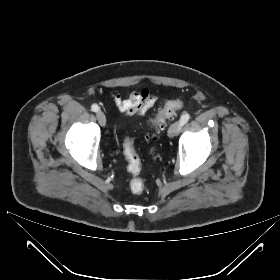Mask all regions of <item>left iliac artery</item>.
<instances>
[{
    "label": "left iliac artery",
    "instance_id": "left-iliac-artery-1",
    "mask_svg": "<svg viewBox=\"0 0 280 280\" xmlns=\"http://www.w3.org/2000/svg\"><path fill=\"white\" fill-rule=\"evenodd\" d=\"M189 119H190V115L188 113L183 114L180 118L181 126H183L185 123H187Z\"/></svg>",
    "mask_w": 280,
    "mask_h": 280
}]
</instances>
